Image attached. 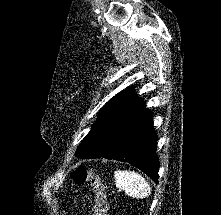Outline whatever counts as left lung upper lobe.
Returning a JSON list of instances; mask_svg holds the SVG:
<instances>
[{"instance_id": "1", "label": "left lung upper lobe", "mask_w": 221, "mask_h": 215, "mask_svg": "<svg viewBox=\"0 0 221 215\" xmlns=\"http://www.w3.org/2000/svg\"><path fill=\"white\" fill-rule=\"evenodd\" d=\"M137 103L138 97L133 93V88L112 97L100 110L99 117L75 154L85 159L101 157L114 127Z\"/></svg>"}]
</instances>
